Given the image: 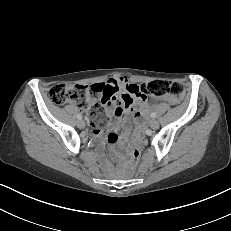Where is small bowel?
I'll list each match as a JSON object with an SVG mask.
<instances>
[{
    "mask_svg": "<svg viewBox=\"0 0 231 231\" xmlns=\"http://www.w3.org/2000/svg\"><path fill=\"white\" fill-rule=\"evenodd\" d=\"M90 88L93 95L90 100L100 99L106 105V112L115 119H119L125 112H134L137 118L141 119L148 112V106L139 95V86L128 82L123 75L114 76L102 83L92 84ZM162 100L171 102L169 97H164ZM91 126L95 137L106 139L111 144L119 140L115 122H111L105 132L97 125L91 124Z\"/></svg>",
    "mask_w": 231,
    "mask_h": 231,
    "instance_id": "c3829d8e",
    "label": "small bowel"
}]
</instances>
